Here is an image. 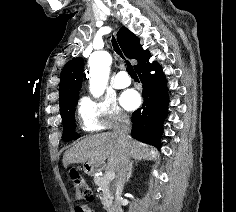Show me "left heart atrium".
Wrapping results in <instances>:
<instances>
[{"label": "left heart atrium", "instance_id": "1", "mask_svg": "<svg viewBox=\"0 0 236 212\" xmlns=\"http://www.w3.org/2000/svg\"><path fill=\"white\" fill-rule=\"evenodd\" d=\"M121 104L125 109L133 110L140 104V96L133 89L127 90L121 96Z\"/></svg>", "mask_w": 236, "mask_h": 212}]
</instances>
